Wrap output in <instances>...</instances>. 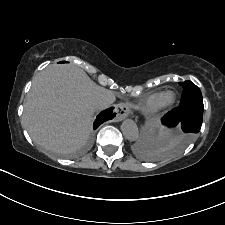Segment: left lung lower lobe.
<instances>
[{
  "mask_svg": "<svg viewBox=\"0 0 225 225\" xmlns=\"http://www.w3.org/2000/svg\"><path fill=\"white\" fill-rule=\"evenodd\" d=\"M203 110V103L182 104L168 112L162 118V123L170 127L180 124L187 136H193L201 129Z\"/></svg>",
  "mask_w": 225,
  "mask_h": 225,
  "instance_id": "1",
  "label": "left lung lower lobe"
}]
</instances>
